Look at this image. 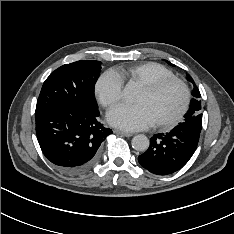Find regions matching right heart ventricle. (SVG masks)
Listing matches in <instances>:
<instances>
[{
	"label": "right heart ventricle",
	"mask_w": 234,
	"mask_h": 234,
	"mask_svg": "<svg viewBox=\"0 0 234 234\" xmlns=\"http://www.w3.org/2000/svg\"><path fill=\"white\" fill-rule=\"evenodd\" d=\"M124 82L136 83L139 86L155 81L175 77L172 71L154 62H146L126 67H117L113 71Z\"/></svg>",
	"instance_id": "1"
}]
</instances>
